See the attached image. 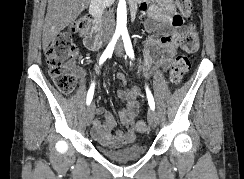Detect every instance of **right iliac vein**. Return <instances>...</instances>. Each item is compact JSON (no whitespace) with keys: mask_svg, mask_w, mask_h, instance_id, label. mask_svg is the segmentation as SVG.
<instances>
[{"mask_svg":"<svg viewBox=\"0 0 244 179\" xmlns=\"http://www.w3.org/2000/svg\"><path fill=\"white\" fill-rule=\"evenodd\" d=\"M94 111H95V104L92 102L89 104V106L87 107L86 113H85V120L86 123L88 125H90V123L93 120L94 117Z\"/></svg>","mask_w":244,"mask_h":179,"instance_id":"1","label":"right iliac vein"}]
</instances>
